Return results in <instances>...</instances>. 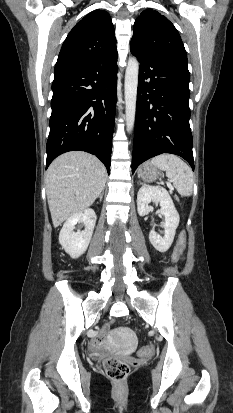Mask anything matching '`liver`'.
<instances>
[{"label": "liver", "mask_w": 233, "mask_h": 413, "mask_svg": "<svg viewBox=\"0 0 233 413\" xmlns=\"http://www.w3.org/2000/svg\"><path fill=\"white\" fill-rule=\"evenodd\" d=\"M105 167L86 152L57 157L46 172V194L54 227L91 206L105 186Z\"/></svg>", "instance_id": "obj_1"}]
</instances>
